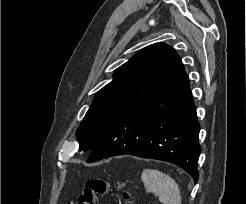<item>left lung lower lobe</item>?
Segmentation results:
<instances>
[{"instance_id": "left-lung-lower-lobe-1", "label": "left lung lower lobe", "mask_w": 246, "mask_h": 204, "mask_svg": "<svg viewBox=\"0 0 246 204\" xmlns=\"http://www.w3.org/2000/svg\"><path fill=\"white\" fill-rule=\"evenodd\" d=\"M200 125L183 71L114 123L91 149L88 163L116 155L167 161L198 181Z\"/></svg>"}]
</instances>
